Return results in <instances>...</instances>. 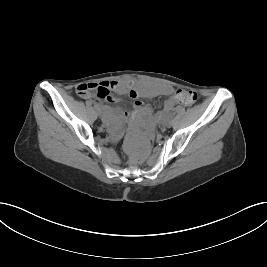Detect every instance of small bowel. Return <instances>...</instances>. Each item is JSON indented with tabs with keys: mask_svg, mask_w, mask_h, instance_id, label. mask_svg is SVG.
Instances as JSON below:
<instances>
[{
	"mask_svg": "<svg viewBox=\"0 0 267 267\" xmlns=\"http://www.w3.org/2000/svg\"><path fill=\"white\" fill-rule=\"evenodd\" d=\"M105 86L110 87L112 89H117L120 93H129L130 97L134 99V108L137 111L145 110L147 113H150L151 109L144 106V103L140 100L142 97H153V96H169V98L164 103L165 110L169 111L174 107L176 100V93L174 89L169 85L164 84H155L150 82H114V81H104ZM89 83L80 84L76 92L80 96V88ZM81 97V96H80ZM85 99H89L90 101L96 103L98 107H101L104 110L108 108L104 105L103 101L92 96V97H82ZM106 100V99H104ZM126 116H131V113L126 112ZM162 114L158 112L156 114V119H160Z\"/></svg>",
	"mask_w": 267,
	"mask_h": 267,
	"instance_id": "small-bowel-1",
	"label": "small bowel"
}]
</instances>
